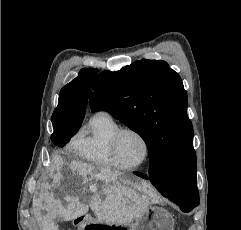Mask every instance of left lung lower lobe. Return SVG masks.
I'll use <instances>...</instances> for the list:
<instances>
[{
	"instance_id": "0a47b994",
	"label": "left lung lower lobe",
	"mask_w": 241,
	"mask_h": 230,
	"mask_svg": "<svg viewBox=\"0 0 241 230\" xmlns=\"http://www.w3.org/2000/svg\"><path fill=\"white\" fill-rule=\"evenodd\" d=\"M139 177L149 179L158 191L179 205L183 212H189L199 204V193L196 187L194 194L187 198H177L165 192L167 184V162L160 157L150 158L149 175L145 176L140 172H134Z\"/></svg>"
}]
</instances>
